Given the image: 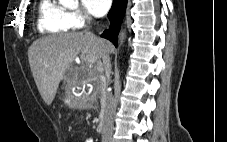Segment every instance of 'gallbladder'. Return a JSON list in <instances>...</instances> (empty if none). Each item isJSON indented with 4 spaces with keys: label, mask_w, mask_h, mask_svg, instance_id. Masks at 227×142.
I'll use <instances>...</instances> for the list:
<instances>
[{
    "label": "gallbladder",
    "mask_w": 227,
    "mask_h": 142,
    "mask_svg": "<svg viewBox=\"0 0 227 142\" xmlns=\"http://www.w3.org/2000/svg\"><path fill=\"white\" fill-rule=\"evenodd\" d=\"M72 98L71 97H66L64 104L66 105V108H69V105L71 104Z\"/></svg>",
    "instance_id": "bac80fb5"
}]
</instances>
